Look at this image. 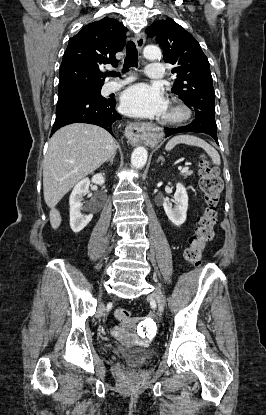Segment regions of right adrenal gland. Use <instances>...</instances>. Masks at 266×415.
<instances>
[{"label": "right adrenal gland", "instance_id": "1", "mask_svg": "<svg viewBox=\"0 0 266 415\" xmlns=\"http://www.w3.org/2000/svg\"><path fill=\"white\" fill-rule=\"evenodd\" d=\"M114 158H115V155H113L112 157H110V158L106 161V163L110 162V165H112V164H113V160H114Z\"/></svg>", "mask_w": 266, "mask_h": 415}]
</instances>
